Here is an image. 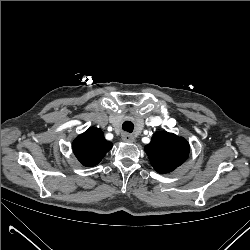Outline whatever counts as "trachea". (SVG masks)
<instances>
[{"label": "trachea", "mask_w": 250, "mask_h": 250, "mask_svg": "<svg viewBox=\"0 0 250 250\" xmlns=\"http://www.w3.org/2000/svg\"><path fill=\"white\" fill-rule=\"evenodd\" d=\"M122 129L126 132L132 133L133 129H134V124L133 122L127 120L123 123L122 125Z\"/></svg>", "instance_id": "1"}]
</instances>
